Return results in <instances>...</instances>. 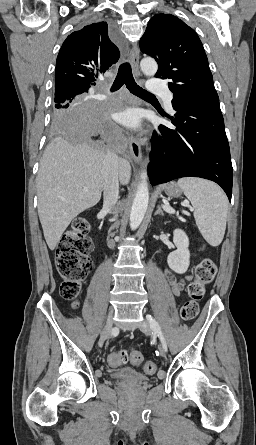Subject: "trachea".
I'll return each mask as SVG.
<instances>
[{"label":"trachea","mask_w":256,"mask_h":445,"mask_svg":"<svg viewBox=\"0 0 256 445\" xmlns=\"http://www.w3.org/2000/svg\"><path fill=\"white\" fill-rule=\"evenodd\" d=\"M124 84L132 94L138 97H155L152 93L137 85L133 78L131 66L128 62L120 65L111 91L113 92L119 90Z\"/></svg>","instance_id":"1"}]
</instances>
